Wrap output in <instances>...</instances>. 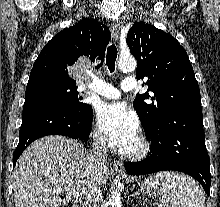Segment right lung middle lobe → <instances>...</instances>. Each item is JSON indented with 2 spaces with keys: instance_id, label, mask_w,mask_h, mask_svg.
<instances>
[{
  "instance_id": "obj_1",
  "label": "right lung middle lobe",
  "mask_w": 220,
  "mask_h": 207,
  "mask_svg": "<svg viewBox=\"0 0 220 207\" xmlns=\"http://www.w3.org/2000/svg\"><path fill=\"white\" fill-rule=\"evenodd\" d=\"M31 95L46 96L76 112H84L90 108V105L81 101L82 97L78 96L76 85L65 84L58 81L42 80L27 85L25 98Z\"/></svg>"
}]
</instances>
